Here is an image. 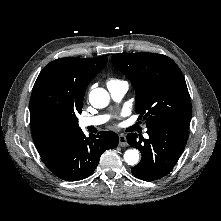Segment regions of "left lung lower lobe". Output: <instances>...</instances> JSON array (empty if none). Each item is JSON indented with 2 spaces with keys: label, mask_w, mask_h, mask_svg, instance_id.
I'll use <instances>...</instances> for the list:
<instances>
[{
  "label": "left lung lower lobe",
  "mask_w": 221,
  "mask_h": 221,
  "mask_svg": "<svg viewBox=\"0 0 221 221\" xmlns=\"http://www.w3.org/2000/svg\"><path fill=\"white\" fill-rule=\"evenodd\" d=\"M189 125L163 122L147 126L148 139L129 133L130 146L140 150L141 162L134 166L133 175L144 181L166 176L175 166L187 143Z\"/></svg>",
  "instance_id": "0a47b994"
}]
</instances>
